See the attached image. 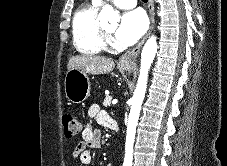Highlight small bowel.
Segmentation results:
<instances>
[{
  "label": "small bowel",
  "mask_w": 227,
  "mask_h": 166,
  "mask_svg": "<svg viewBox=\"0 0 227 166\" xmlns=\"http://www.w3.org/2000/svg\"><path fill=\"white\" fill-rule=\"evenodd\" d=\"M88 123L82 130V140L74 149V157L84 166H93L94 156L88 148H99L101 145V134L94 129L92 122H97L105 127H110L111 117L102 110L98 104H93L88 109ZM111 128V127H110Z\"/></svg>",
  "instance_id": "small-bowel-1"
}]
</instances>
